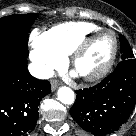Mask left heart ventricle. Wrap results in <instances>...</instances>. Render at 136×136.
Masks as SVG:
<instances>
[{
  "mask_svg": "<svg viewBox=\"0 0 136 136\" xmlns=\"http://www.w3.org/2000/svg\"><path fill=\"white\" fill-rule=\"evenodd\" d=\"M113 49V38L110 34L99 36L78 60L76 71L88 74L98 70L108 60Z\"/></svg>",
  "mask_w": 136,
  "mask_h": 136,
  "instance_id": "obj_1",
  "label": "left heart ventricle"
}]
</instances>
